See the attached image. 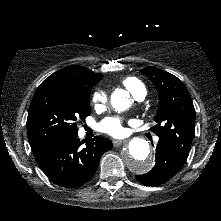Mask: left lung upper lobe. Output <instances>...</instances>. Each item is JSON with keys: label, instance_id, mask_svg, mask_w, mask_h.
<instances>
[{"label": "left lung upper lobe", "instance_id": "left-lung-upper-lobe-1", "mask_svg": "<svg viewBox=\"0 0 221 221\" xmlns=\"http://www.w3.org/2000/svg\"><path fill=\"white\" fill-rule=\"evenodd\" d=\"M141 73L150 77L159 94V108L152 131L159 141L187 160L195 133V109L186 86L176 76L148 66Z\"/></svg>", "mask_w": 221, "mask_h": 221}]
</instances>
